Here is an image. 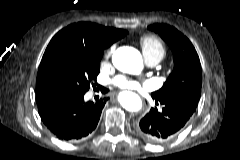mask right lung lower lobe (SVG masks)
<instances>
[{
  "label": "right lung lower lobe",
  "mask_w": 240,
  "mask_h": 160,
  "mask_svg": "<svg viewBox=\"0 0 240 160\" xmlns=\"http://www.w3.org/2000/svg\"><path fill=\"white\" fill-rule=\"evenodd\" d=\"M102 92L107 89L101 87ZM107 98L84 101V95L50 94L37 97L43 123L59 139L76 141L88 136L97 126Z\"/></svg>",
  "instance_id": "98d812e1"
}]
</instances>
